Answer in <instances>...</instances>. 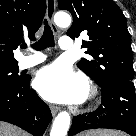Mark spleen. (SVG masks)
<instances>
[{
    "mask_svg": "<svg viewBox=\"0 0 136 136\" xmlns=\"http://www.w3.org/2000/svg\"><path fill=\"white\" fill-rule=\"evenodd\" d=\"M83 136H122V134L111 130H97L87 132Z\"/></svg>",
    "mask_w": 136,
    "mask_h": 136,
    "instance_id": "spleen-1",
    "label": "spleen"
}]
</instances>
